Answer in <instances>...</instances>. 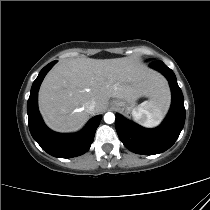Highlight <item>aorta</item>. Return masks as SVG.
Wrapping results in <instances>:
<instances>
[{
  "mask_svg": "<svg viewBox=\"0 0 210 210\" xmlns=\"http://www.w3.org/2000/svg\"><path fill=\"white\" fill-rule=\"evenodd\" d=\"M104 121L107 123V124H111L115 121V115L111 112H108L104 115Z\"/></svg>",
  "mask_w": 210,
  "mask_h": 210,
  "instance_id": "1",
  "label": "aorta"
}]
</instances>
